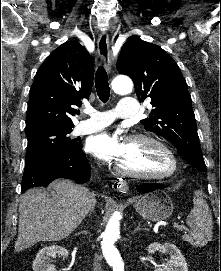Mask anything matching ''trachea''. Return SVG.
Segmentation results:
<instances>
[{
    "label": "trachea",
    "instance_id": "3493384b",
    "mask_svg": "<svg viewBox=\"0 0 221 271\" xmlns=\"http://www.w3.org/2000/svg\"><path fill=\"white\" fill-rule=\"evenodd\" d=\"M95 88L102 103H107L110 97V86L106 70L103 66H100L96 72Z\"/></svg>",
    "mask_w": 221,
    "mask_h": 271
}]
</instances>
